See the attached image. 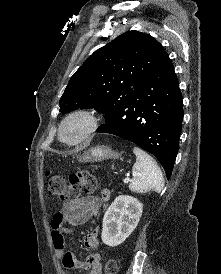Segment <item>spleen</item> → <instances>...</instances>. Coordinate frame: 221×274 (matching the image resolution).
Returning <instances> with one entry per match:
<instances>
[{
  "instance_id": "3e777b00",
  "label": "spleen",
  "mask_w": 221,
  "mask_h": 274,
  "mask_svg": "<svg viewBox=\"0 0 221 274\" xmlns=\"http://www.w3.org/2000/svg\"><path fill=\"white\" fill-rule=\"evenodd\" d=\"M136 163L132 167L133 179L129 189L135 193L155 191L160 193L164 187V177L156 161L138 147L133 148Z\"/></svg>"
}]
</instances>
